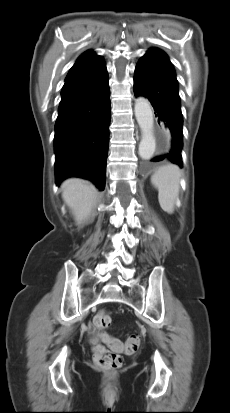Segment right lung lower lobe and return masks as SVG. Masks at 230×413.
Returning a JSON list of instances; mask_svg holds the SVG:
<instances>
[{"label":"right lung lower lobe","instance_id":"98d812e1","mask_svg":"<svg viewBox=\"0 0 230 413\" xmlns=\"http://www.w3.org/2000/svg\"><path fill=\"white\" fill-rule=\"evenodd\" d=\"M55 124V176L59 185L68 177L105 186L110 123V89L106 67L65 82Z\"/></svg>","mask_w":230,"mask_h":413}]
</instances>
